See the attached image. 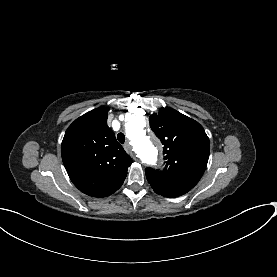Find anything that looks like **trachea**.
<instances>
[{
	"label": "trachea",
	"mask_w": 277,
	"mask_h": 277,
	"mask_svg": "<svg viewBox=\"0 0 277 277\" xmlns=\"http://www.w3.org/2000/svg\"><path fill=\"white\" fill-rule=\"evenodd\" d=\"M117 139H118V141L121 143V144H124V142H125V135L123 134V133H119L118 135H117Z\"/></svg>",
	"instance_id": "3493384b"
}]
</instances>
